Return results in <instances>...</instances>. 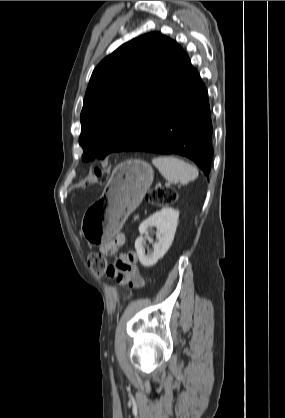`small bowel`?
I'll use <instances>...</instances> for the list:
<instances>
[{
	"instance_id": "obj_1",
	"label": "small bowel",
	"mask_w": 285,
	"mask_h": 418,
	"mask_svg": "<svg viewBox=\"0 0 285 418\" xmlns=\"http://www.w3.org/2000/svg\"><path fill=\"white\" fill-rule=\"evenodd\" d=\"M123 242V237L118 235L108 244L102 246L101 250L105 253L115 251ZM137 256L135 253L121 255L116 265L109 266L107 275L114 278L117 283L127 288H142L145 284L144 278L135 266Z\"/></svg>"
}]
</instances>
